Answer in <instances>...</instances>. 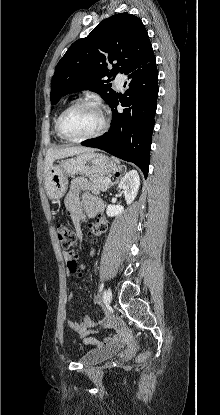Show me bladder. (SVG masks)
<instances>
[{
    "mask_svg": "<svg viewBox=\"0 0 220 415\" xmlns=\"http://www.w3.org/2000/svg\"><path fill=\"white\" fill-rule=\"evenodd\" d=\"M121 352V347L113 345L87 351L80 359L83 365H95L107 359L117 356Z\"/></svg>",
    "mask_w": 220,
    "mask_h": 415,
    "instance_id": "bladder-1",
    "label": "bladder"
}]
</instances>
